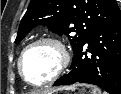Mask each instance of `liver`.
Returning <instances> with one entry per match:
<instances>
[{
  "label": "liver",
  "instance_id": "obj_1",
  "mask_svg": "<svg viewBox=\"0 0 121 94\" xmlns=\"http://www.w3.org/2000/svg\"><path fill=\"white\" fill-rule=\"evenodd\" d=\"M36 94H47L45 91L43 92H39V93H36Z\"/></svg>",
  "mask_w": 121,
  "mask_h": 94
}]
</instances>
